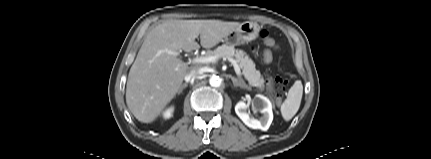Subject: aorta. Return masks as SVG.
Masks as SVG:
<instances>
[{"label": "aorta", "mask_w": 431, "mask_h": 159, "mask_svg": "<svg viewBox=\"0 0 431 159\" xmlns=\"http://www.w3.org/2000/svg\"><path fill=\"white\" fill-rule=\"evenodd\" d=\"M209 83L212 87H219L221 85V80L218 76L213 75L210 77Z\"/></svg>", "instance_id": "1"}]
</instances>
